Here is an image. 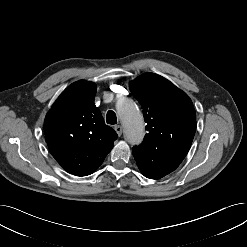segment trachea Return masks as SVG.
Instances as JSON below:
<instances>
[{
    "label": "trachea",
    "mask_w": 247,
    "mask_h": 247,
    "mask_svg": "<svg viewBox=\"0 0 247 247\" xmlns=\"http://www.w3.org/2000/svg\"><path fill=\"white\" fill-rule=\"evenodd\" d=\"M106 122L111 125L117 124V117L114 111L110 110L107 112Z\"/></svg>",
    "instance_id": "obj_1"
}]
</instances>
